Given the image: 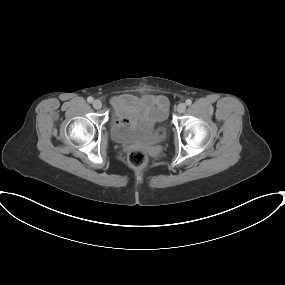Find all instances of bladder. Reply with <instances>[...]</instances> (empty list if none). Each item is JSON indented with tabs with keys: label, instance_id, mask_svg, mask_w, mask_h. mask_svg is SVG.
Returning <instances> with one entry per match:
<instances>
[{
	"label": "bladder",
	"instance_id": "obj_1",
	"mask_svg": "<svg viewBox=\"0 0 285 285\" xmlns=\"http://www.w3.org/2000/svg\"><path fill=\"white\" fill-rule=\"evenodd\" d=\"M167 118V112L160 110L157 117L158 123H164ZM164 131L158 132L155 125H137L130 126L121 120L118 114L112 124V136L119 143L127 142H159L164 138Z\"/></svg>",
	"mask_w": 285,
	"mask_h": 285
}]
</instances>
